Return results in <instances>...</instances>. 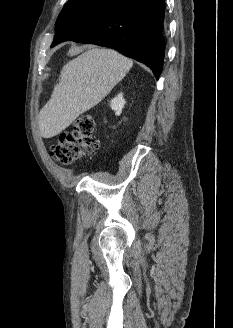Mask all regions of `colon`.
I'll list each match as a JSON object with an SVG mask.
<instances>
[{"label":"colon","mask_w":233,"mask_h":328,"mask_svg":"<svg viewBox=\"0 0 233 328\" xmlns=\"http://www.w3.org/2000/svg\"><path fill=\"white\" fill-rule=\"evenodd\" d=\"M96 147L94 120L89 115H82L73 122L71 130L59 135L51 155L57 162L67 165L90 155Z\"/></svg>","instance_id":"5ec220e1"}]
</instances>
